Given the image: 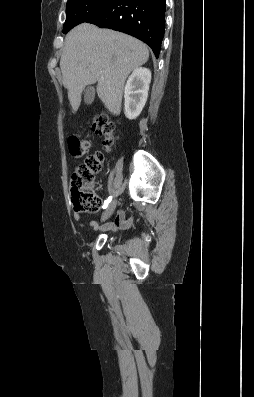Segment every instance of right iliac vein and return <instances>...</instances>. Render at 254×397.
Instances as JSON below:
<instances>
[{
    "instance_id": "obj_1",
    "label": "right iliac vein",
    "mask_w": 254,
    "mask_h": 397,
    "mask_svg": "<svg viewBox=\"0 0 254 397\" xmlns=\"http://www.w3.org/2000/svg\"><path fill=\"white\" fill-rule=\"evenodd\" d=\"M116 205H117V201L116 200H113L108 205V207L106 208V210L104 211V213L102 215V218H101L102 221L107 220L112 215V213L114 212V210L116 208Z\"/></svg>"
}]
</instances>
